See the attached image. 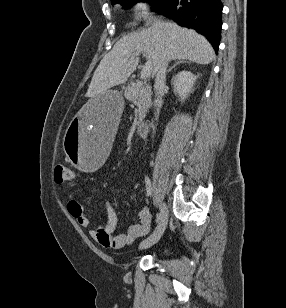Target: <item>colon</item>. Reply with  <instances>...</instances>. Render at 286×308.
Here are the masks:
<instances>
[{
    "label": "colon",
    "mask_w": 286,
    "mask_h": 308,
    "mask_svg": "<svg viewBox=\"0 0 286 308\" xmlns=\"http://www.w3.org/2000/svg\"><path fill=\"white\" fill-rule=\"evenodd\" d=\"M54 180L59 185L73 186L75 184V172L67 165H57L54 169Z\"/></svg>",
    "instance_id": "obj_1"
}]
</instances>
